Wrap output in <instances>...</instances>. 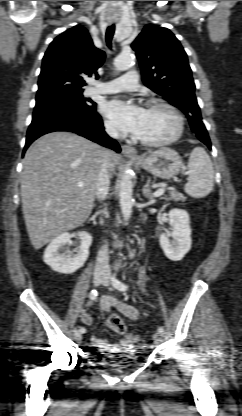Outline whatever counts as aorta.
Returning <instances> with one entry per match:
<instances>
[{
  "instance_id": "aorta-1",
  "label": "aorta",
  "mask_w": 242,
  "mask_h": 416,
  "mask_svg": "<svg viewBox=\"0 0 242 416\" xmlns=\"http://www.w3.org/2000/svg\"><path fill=\"white\" fill-rule=\"evenodd\" d=\"M134 60L131 53L122 52L114 60L117 70L124 71L130 68ZM133 182L130 166L127 165L122 175L119 187L120 208L124 220H129L132 214Z\"/></svg>"
}]
</instances>
